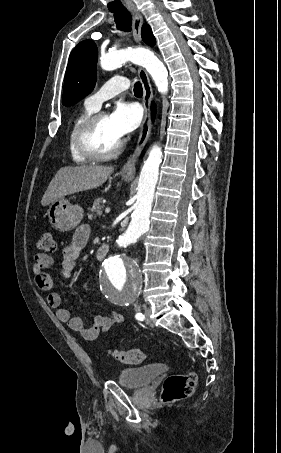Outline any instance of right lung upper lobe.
Returning <instances> with one entry per match:
<instances>
[{
  "mask_svg": "<svg viewBox=\"0 0 281 453\" xmlns=\"http://www.w3.org/2000/svg\"><path fill=\"white\" fill-rule=\"evenodd\" d=\"M141 35H142L144 42L147 43L148 45L153 46L155 44L156 40L152 34V30L149 25L144 24L142 26Z\"/></svg>",
  "mask_w": 281,
  "mask_h": 453,
  "instance_id": "right-lung-upper-lobe-1",
  "label": "right lung upper lobe"
}]
</instances>
